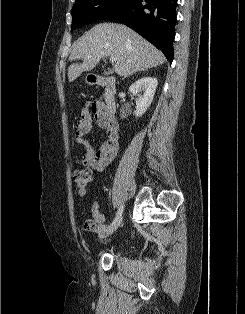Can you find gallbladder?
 Returning a JSON list of instances; mask_svg holds the SVG:
<instances>
[{
  "label": "gallbladder",
  "mask_w": 245,
  "mask_h": 314,
  "mask_svg": "<svg viewBox=\"0 0 245 314\" xmlns=\"http://www.w3.org/2000/svg\"><path fill=\"white\" fill-rule=\"evenodd\" d=\"M109 71H104V75H109Z\"/></svg>",
  "instance_id": "bac80fb5"
}]
</instances>
